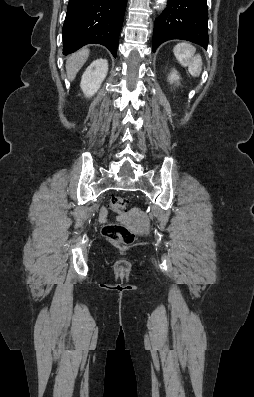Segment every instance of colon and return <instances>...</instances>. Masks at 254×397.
Returning <instances> with one entry per match:
<instances>
[{"label":"colon","mask_w":254,"mask_h":397,"mask_svg":"<svg viewBox=\"0 0 254 397\" xmlns=\"http://www.w3.org/2000/svg\"><path fill=\"white\" fill-rule=\"evenodd\" d=\"M127 204V199L121 196H114L110 200V208L116 213H123ZM102 233L106 239L119 246H128L135 240L134 233L122 224H108L104 226Z\"/></svg>","instance_id":"1"}]
</instances>
